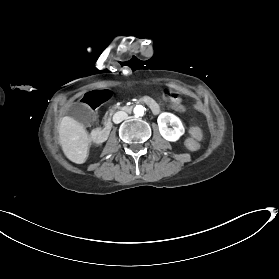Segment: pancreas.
<instances>
[{"label": "pancreas", "mask_w": 279, "mask_h": 279, "mask_svg": "<svg viewBox=\"0 0 279 279\" xmlns=\"http://www.w3.org/2000/svg\"><path fill=\"white\" fill-rule=\"evenodd\" d=\"M115 109H116V107L114 106L112 109L109 110V112H110L111 114H113V112H114Z\"/></svg>", "instance_id": "cf45deb5"}]
</instances>
